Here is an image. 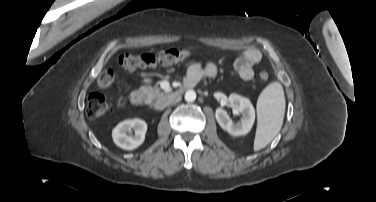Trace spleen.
I'll return each mask as SVG.
<instances>
[{
    "instance_id": "obj_1",
    "label": "spleen",
    "mask_w": 376,
    "mask_h": 202,
    "mask_svg": "<svg viewBox=\"0 0 376 202\" xmlns=\"http://www.w3.org/2000/svg\"><path fill=\"white\" fill-rule=\"evenodd\" d=\"M285 113V97L279 82L269 84L257 101L258 126L254 150L266 147L279 133Z\"/></svg>"
}]
</instances>
